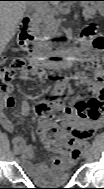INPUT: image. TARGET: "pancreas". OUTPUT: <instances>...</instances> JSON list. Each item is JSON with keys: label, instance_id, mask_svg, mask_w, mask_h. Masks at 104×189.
I'll return each instance as SVG.
<instances>
[{"label": "pancreas", "instance_id": "obj_1", "mask_svg": "<svg viewBox=\"0 0 104 189\" xmlns=\"http://www.w3.org/2000/svg\"><path fill=\"white\" fill-rule=\"evenodd\" d=\"M87 17H90L93 14V10L90 7L85 8L84 10ZM45 29L43 31V37L39 40L43 41L45 37H50L53 33H57L59 24L52 20L45 21Z\"/></svg>", "mask_w": 104, "mask_h": 189}]
</instances>
